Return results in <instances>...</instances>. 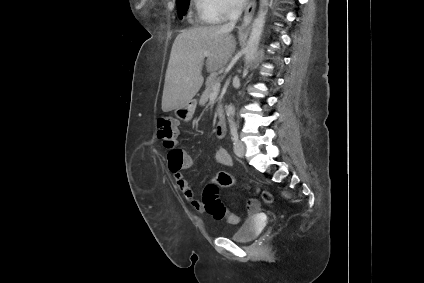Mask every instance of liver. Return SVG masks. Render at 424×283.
Listing matches in <instances>:
<instances>
[{"label":"liver","instance_id":"liver-1","mask_svg":"<svg viewBox=\"0 0 424 283\" xmlns=\"http://www.w3.org/2000/svg\"><path fill=\"white\" fill-rule=\"evenodd\" d=\"M234 25L198 26L179 33L172 45L165 76L162 110L171 111L190 101L200 90L207 72L214 75L232 57L236 41L230 35ZM209 52L208 56L204 52Z\"/></svg>","mask_w":424,"mask_h":283}]
</instances>
